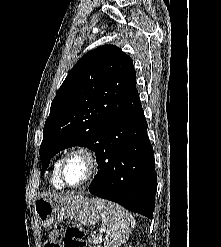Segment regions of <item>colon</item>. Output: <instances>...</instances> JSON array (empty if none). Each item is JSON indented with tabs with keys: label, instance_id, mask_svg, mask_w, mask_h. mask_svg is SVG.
<instances>
[{
	"label": "colon",
	"instance_id": "obj_1",
	"mask_svg": "<svg viewBox=\"0 0 221 247\" xmlns=\"http://www.w3.org/2000/svg\"><path fill=\"white\" fill-rule=\"evenodd\" d=\"M44 247H87L86 233L79 225H70L64 232L57 225L49 232Z\"/></svg>",
	"mask_w": 221,
	"mask_h": 247
}]
</instances>
